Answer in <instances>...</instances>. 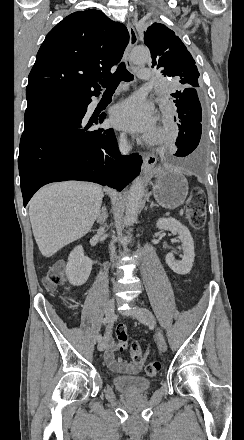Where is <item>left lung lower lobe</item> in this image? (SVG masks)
<instances>
[{
    "mask_svg": "<svg viewBox=\"0 0 244 440\" xmlns=\"http://www.w3.org/2000/svg\"><path fill=\"white\" fill-rule=\"evenodd\" d=\"M177 107L179 134L175 145L178 147L175 156L185 157L196 149L200 142L202 109L197 90L185 88L171 94ZM176 120V118H175Z\"/></svg>",
    "mask_w": 244,
    "mask_h": 440,
    "instance_id": "obj_1",
    "label": "left lung lower lobe"
}]
</instances>
